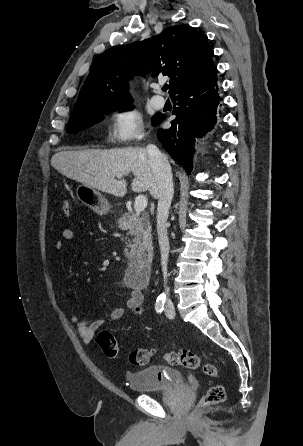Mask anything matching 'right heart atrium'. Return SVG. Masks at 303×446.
Listing matches in <instances>:
<instances>
[{"mask_svg":"<svg viewBox=\"0 0 303 446\" xmlns=\"http://www.w3.org/2000/svg\"><path fill=\"white\" fill-rule=\"evenodd\" d=\"M143 133L142 115L134 106H122L113 112L109 129L112 142L128 143L140 139Z\"/></svg>","mask_w":303,"mask_h":446,"instance_id":"d8ad5b80","label":"right heart atrium"}]
</instances>
